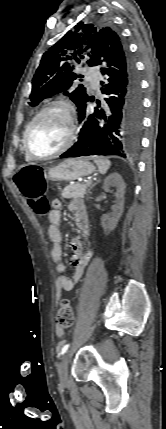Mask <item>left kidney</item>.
<instances>
[{"label":"left kidney","instance_id":"left-kidney-1","mask_svg":"<svg viewBox=\"0 0 166 429\" xmlns=\"http://www.w3.org/2000/svg\"><path fill=\"white\" fill-rule=\"evenodd\" d=\"M110 187H116V204L112 206V213L101 218V225L105 232H111L116 227L124 209L125 183L122 176L115 172L107 176L104 180L103 189L110 192Z\"/></svg>","mask_w":166,"mask_h":429}]
</instances>
